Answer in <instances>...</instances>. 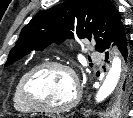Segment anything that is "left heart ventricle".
I'll list each match as a JSON object with an SVG mask.
<instances>
[{"mask_svg": "<svg viewBox=\"0 0 133 118\" xmlns=\"http://www.w3.org/2000/svg\"><path fill=\"white\" fill-rule=\"evenodd\" d=\"M75 88L70 74L61 69H49L39 74L33 81L32 94L36 101L49 107L69 103Z\"/></svg>", "mask_w": 133, "mask_h": 118, "instance_id": "obj_1", "label": "left heart ventricle"}]
</instances>
